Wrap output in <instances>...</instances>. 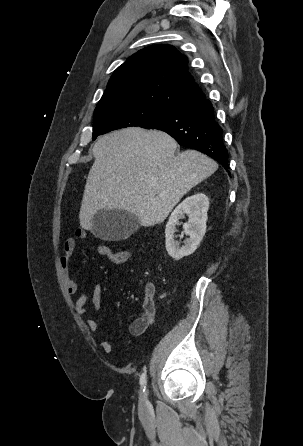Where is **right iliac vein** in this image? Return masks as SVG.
Returning a JSON list of instances; mask_svg holds the SVG:
<instances>
[{
  "label": "right iliac vein",
  "mask_w": 303,
  "mask_h": 446,
  "mask_svg": "<svg viewBox=\"0 0 303 446\" xmlns=\"http://www.w3.org/2000/svg\"><path fill=\"white\" fill-rule=\"evenodd\" d=\"M147 395H148L147 391L140 395V408L142 411H145L147 409L148 405Z\"/></svg>",
  "instance_id": "right-iliac-vein-1"
}]
</instances>
